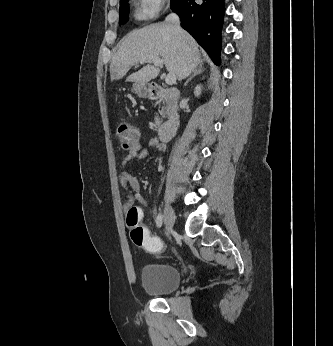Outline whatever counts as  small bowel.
I'll list each match as a JSON object with an SVG mask.
<instances>
[{
    "label": "small bowel",
    "mask_w": 333,
    "mask_h": 346,
    "mask_svg": "<svg viewBox=\"0 0 333 346\" xmlns=\"http://www.w3.org/2000/svg\"><path fill=\"white\" fill-rule=\"evenodd\" d=\"M147 144L151 147L157 148L159 151L163 152L165 150L164 145L157 138H150ZM148 149L144 146L142 142H138L134 148H132L128 154L123 159V164L127 165L134 161H140L147 157ZM120 181L123 186H125L130 194L126 202V208L130 207V204L136 200L142 204H147L146 201L140 196L139 191L141 188L139 180L128 170H123L120 175Z\"/></svg>",
    "instance_id": "small-bowel-1"
}]
</instances>
